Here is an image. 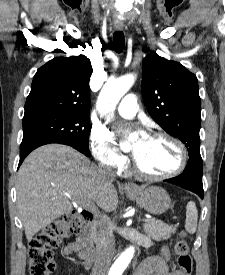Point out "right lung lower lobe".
I'll return each mask as SVG.
<instances>
[{
    "label": "right lung lower lobe",
    "mask_w": 225,
    "mask_h": 275,
    "mask_svg": "<svg viewBox=\"0 0 225 275\" xmlns=\"http://www.w3.org/2000/svg\"><path fill=\"white\" fill-rule=\"evenodd\" d=\"M49 143H60V144L69 145V146L75 148L76 150L80 151L84 155L90 156V152H89L88 148L82 147V146L74 144V143H71L69 141L59 140V139H48V138H30V139H27V140H23L22 143H21L19 166L21 165V163L23 162L25 157L32 150H34L35 148H37L39 146H42L44 144H49Z\"/></svg>",
    "instance_id": "obj_1"
}]
</instances>
